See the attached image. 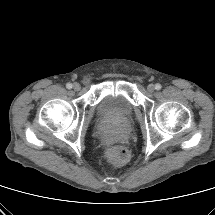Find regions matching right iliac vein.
Returning a JSON list of instances; mask_svg holds the SVG:
<instances>
[{
  "label": "right iliac vein",
  "mask_w": 215,
  "mask_h": 215,
  "mask_svg": "<svg viewBox=\"0 0 215 215\" xmlns=\"http://www.w3.org/2000/svg\"><path fill=\"white\" fill-rule=\"evenodd\" d=\"M73 89H74L75 91H79V90L81 89L80 84H79V83H74Z\"/></svg>",
  "instance_id": "obj_1"
}]
</instances>
